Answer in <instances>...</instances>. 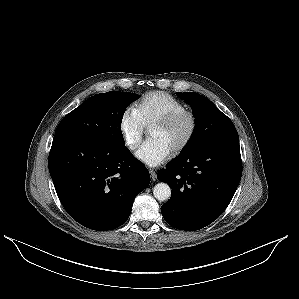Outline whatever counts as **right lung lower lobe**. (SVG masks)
Here are the masks:
<instances>
[{"mask_svg":"<svg viewBox=\"0 0 299 299\" xmlns=\"http://www.w3.org/2000/svg\"><path fill=\"white\" fill-rule=\"evenodd\" d=\"M48 165L65 210L97 231L124 224L136 195L150 183L147 168L125 145L54 136Z\"/></svg>","mask_w":299,"mask_h":299,"instance_id":"obj_1","label":"right lung lower lobe"}]
</instances>
